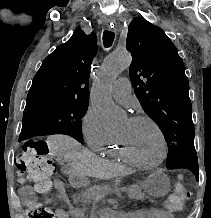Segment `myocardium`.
<instances>
[{"mask_svg":"<svg viewBox=\"0 0 211 218\" xmlns=\"http://www.w3.org/2000/svg\"><path fill=\"white\" fill-rule=\"evenodd\" d=\"M129 120H131L133 122H138V121H147V122H149L156 129V131H157V133L159 135L162 152H161L160 158L155 162L147 163V162L141 161L137 157H135L134 154L130 151V149H129L127 143L125 142V140L116 134L115 135L116 141H117L121 151L123 152V154L133 164L138 165V166L143 167V168H153V167H156L159 164H161L163 162L164 158H165L166 144H165V135H164V132H163L162 128L160 127V125L153 118H151V117H149L147 115H134V116H131L129 118Z\"/></svg>","mask_w":211,"mask_h":218,"instance_id":"obj_1","label":"myocardium"}]
</instances>
